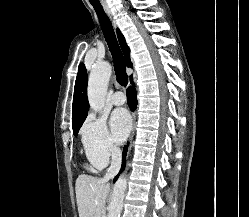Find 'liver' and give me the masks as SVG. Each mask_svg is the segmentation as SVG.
Returning a JSON list of instances; mask_svg holds the SVG:
<instances>
[{"mask_svg": "<svg viewBox=\"0 0 249 217\" xmlns=\"http://www.w3.org/2000/svg\"><path fill=\"white\" fill-rule=\"evenodd\" d=\"M110 187L107 181L81 174L75 184L79 217H103Z\"/></svg>", "mask_w": 249, "mask_h": 217, "instance_id": "1", "label": "liver"}]
</instances>
